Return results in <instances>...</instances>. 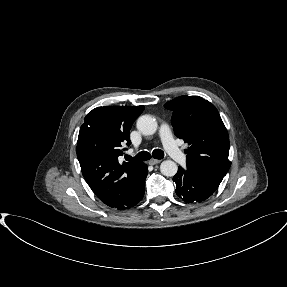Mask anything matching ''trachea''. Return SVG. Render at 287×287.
Wrapping results in <instances>:
<instances>
[{
    "instance_id": "1",
    "label": "trachea",
    "mask_w": 287,
    "mask_h": 287,
    "mask_svg": "<svg viewBox=\"0 0 287 287\" xmlns=\"http://www.w3.org/2000/svg\"><path fill=\"white\" fill-rule=\"evenodd\" d=\"M152 156L155 159H162L164 157V152L160 149H155L152 152ZM151 159V155L149 152L147 151H141L139 152L134 158L130 157L127 155L126 160L128 161H137V162H141V161H147Z\"/></svg>"
}]
</instances>
